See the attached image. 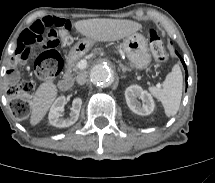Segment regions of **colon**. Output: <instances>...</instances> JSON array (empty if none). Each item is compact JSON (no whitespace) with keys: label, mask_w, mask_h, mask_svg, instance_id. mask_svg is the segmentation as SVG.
Returning a JSON list of instances; mask_svg holds the SVG:
<instances>
[{"label":"colon","mask_w":215,"mask_h":183,"mask_svg":"<svg viewBox=\"0 0 215 183\" xmlns=\"http://www.w3.org/2000/svg\"><path fill=\"white\" fill-rule=\"evenodd\" d=\"M69 31L70 23L65 18L47 17L35 21L21 34L18 54L23 60L34 59V70L38 77L53 76L58 73L61 62L57 47H68L72 43ZM149 44L155 59L165 63L168 55L164 42L154 30L149 32ZM33 89L32 83L28 81H23L9 89L11 109L17 118L22 120L29 118V97Z\"/></svg>","instance_id":"colon-1"}]
</instances>
